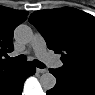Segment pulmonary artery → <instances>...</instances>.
<instances>
[{
	"label": "pulmonary artery",
	"instance_id": "pulmonary-artery-1",
	"mask_svg": "<svg viewBox=\"0 0 95 95\" xmlns=\"http://www.w3.org/2000/svg\"><path fill=\"white\" fill-rule=\"evenodd\" d=\"M30 47L34 50L36 56L49 66L59 68L62 65L61 61L55 55L48 52L46 42L41 34L36 33L33 36Z\"/></svg>",
	"mask_w": 95,
	"mask_h": 95
}]
</instances>
